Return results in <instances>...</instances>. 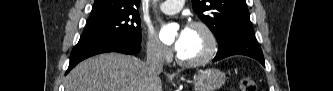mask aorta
Listing matches in <instances>:
<instances>
[{
	"mask_svg": "<svg viewBox=\"0 0 333 91\" xmlns=\"http://www.w3.org/2000/svg\"><path fill=\"white\" fill-rule=\"evenodd\" d=\"M176 26L173 24L164 25L161 30L159 37L163 41H169L174 39V30Z\"/></svg>",
	"mask_w": 333,
	"mask_h": 91,
	"instance_id": "762f6f07",
	"label": "aorta"
}]
</instances>
